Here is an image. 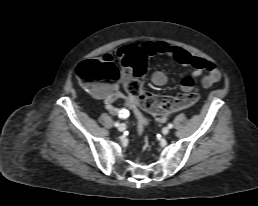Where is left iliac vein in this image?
<instances>
[{"label": "left iliac vein", "mask_w": 258, "mask_h": 206, "mask_svg": "<svg viewBox=\"0 0 258 206\" xmlns=\"http://www.w3.org/2000/svg\"><path fill=\"white\" fill-rule=\"evenodd\" d=\"M162 133H163V135H167L169 133V128L168 127H164L162 129Z\"/></svg>", "instance_id": "4c4485c4"}]
</instances>
